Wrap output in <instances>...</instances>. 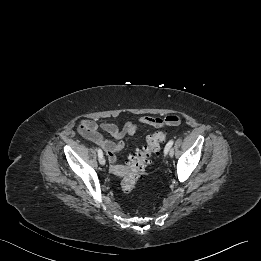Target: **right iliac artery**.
Instances as JSON below:
<instances>
[{
	"label": "right iliac artery",
	"instance_id": "1",
	"mask_svg": "<svg viewBox=\"0 0 261 261\" xmlns=\"http://www.w3.org/2000/svg\"><path fill=\"white\" fill-rule=\"evenodd\" d=\"M98 157H103V152L100 148L97 149Z\"/></svg>",
	"mask_w": 261,
	"mask_h": 261
}]
</instances>
